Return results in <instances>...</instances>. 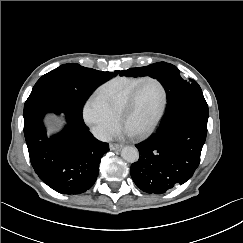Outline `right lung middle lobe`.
<instances>
[{
  "mask_svg": "<svg viewBox=\"0 0 243 243\" xmlns=\"http://www.w3.org/2000/svg\"><path fill=\"white\" fill-rule=\"evenodd\" d=\"M118 73V70L114 73L102 72L76 63H68L43 75L31 93L57 95L82 110L85 101L95 88Z\"/></svg>",
  "mask_w": 243,
  "mask_h": 243,
  "instance_id": "1",
  "label": "right lung middle lobe"
}]
</instances>
